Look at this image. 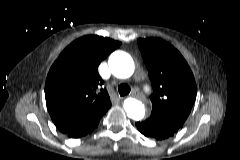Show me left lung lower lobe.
I'll use <instances>...</instances> for the list:
<instances>
[{
	"mask_svg": "<svg viewBox=\"0 0 240 160\" xmlns=\"http://www.w3.org/2000/svg\"><path fill=\"white\" fill-rule=\"evenodd\" d=\"M136 127L144 136L155 140L168 139L175 134L174 132L160 126L150 118L141 122H136Z\"/></svg>",
	"mask_w": 240,
	"mask_h": 160,
	"instance_id": "1",
	"label": "left lung lower lobe"
}]
</instances>
